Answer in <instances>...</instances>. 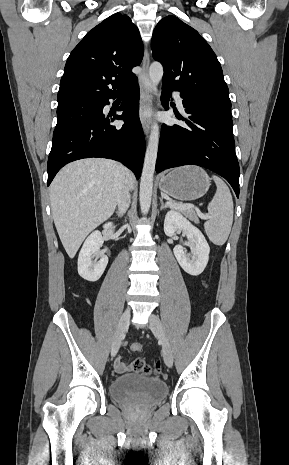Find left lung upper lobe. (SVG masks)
Wrapping results in <instances>:
<instances>
[{
    "mask_svg": "<svg viewBox=\"0 0 289 465\" xmlns=\"http://www.w3.org/2000/svg\"><path fill=\"white\" fill-rule=\"evenodd\" d=\"M151 48L153 58L165 68L164 85L208 103L231 107L221 65L195 29L175 16H167L154 29Z\"/></svg>",
    "mask_w": 289,
    "mask_h": 465,
    "instance_id": "1",
    "label": "left lung upper lobe"
}]
</instances>
